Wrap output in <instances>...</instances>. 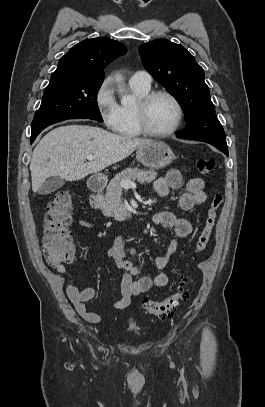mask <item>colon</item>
I'll return each instance as SVG.
<instances>
[{
  "mask_svg": "<svg viewBox=\"0 0 265 407\" xmlns=\"http://www.w3.org/2000/svg\"><path fill=\"white\" fill-rule=\"evenodd\" d=\"M197 170L203 175L213 173L215 161L212 158H199L196 161ZM223 194L217 191L212 199L204 225L198 235L193 249V258L201 254L207 247L216 222L217 211L223 203ZM73 212V199L69 190H59L49 202L44 218L43 253L47 263L52 267H60L70 263L75 258V248L66 230ZM190 276L184 274L179 278L175 292L168 298L156 301L146 298L143 301L145 311L158 318L171 316L189 299L188 285Z\"/></svg>",
  "mask_w": 265,
  "mask_h": 407,
  "instance_id": "5ec220e1",
  "label": "colon"
}]
</instances>
